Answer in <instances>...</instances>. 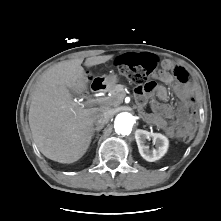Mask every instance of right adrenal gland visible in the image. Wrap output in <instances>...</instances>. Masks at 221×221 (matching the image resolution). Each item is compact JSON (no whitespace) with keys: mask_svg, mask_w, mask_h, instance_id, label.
Wrapping results in <instances>:
<instances>
[{"mask_svg":"<svg viewBox=\"0 0 221 221\" xmlns=\"http://www.w3.org/2000/svg\"><path fill=\"white\" fill-rule=\"evenodd\" d=\"M101 129H102V127H96V128H94L93 129V134H92V136L94 137L95 136V132L97 133L96 134V140L99 138V132L101 131ZM95 140V141H96ZM95 141H94V143H95Z\"/></svg>","mask_w":221,"mask_h":221,"instance_id":"right-adrenal-gland-1","label":"right adrenal gland"}]
</instances>
